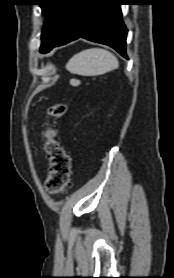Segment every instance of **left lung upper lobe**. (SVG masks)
<instances>
[{"label": "left lung upper lobe", "instance_id": "left-lung-upper-lobe-1", "mask_svg": "<svg viewBox=\"0 0 174 278\" xmlns=\"http://www.w3.org/2000/svg\"><path fill=\"white\" fill-rule=\"evenodd\" d=\"M46 16L41 34V53L49 51L62 37L77 0H41L39 4Z\"/></svg>", "mask_w": 174, "mask_h": 278}]
</instances>
